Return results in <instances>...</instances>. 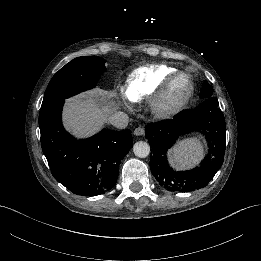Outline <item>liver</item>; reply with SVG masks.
<instances>
[{"instance_id": "6515ba94", "label": "liver", "mask_w": 261, "mask_h": 261, "mask_svg": "<svg viewBox=\"0 0 261 261\" xmlns=\"http://www.w3.org/2000/svg\"><path fill=\"white\" fill-rule=\"evenodd\" d=\"M112 99V93L98 90L69 100L65 110L67 126L79 135L97 130L114 111Z\"/></svg>"}]
</instances>
